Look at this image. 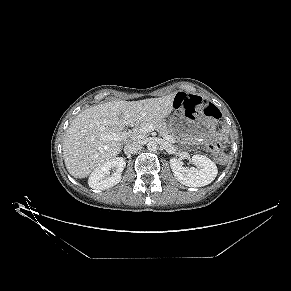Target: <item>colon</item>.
Here are the masks:
<instances>
[{
  "mask_svg": "<svg viewBox=\"0 0 291 291\" xmlns=\"http://www.w3.org/2000/svg\"><path fill=\"white\" fill-rule=\"evenodd\" d=\"M174 106L187 116L204 114L213 118L220 117V110L209 101L199 97L179 93L174 100ZM206 149L216 156L218 164L223 165L227 158L223 153V145L218 139H214L206 145Z\"/></svg>",
  "mask_w": 291,
  "mask_h": 291,
  "instance_id": "5ec220e1",
  "label": "colon"
}]
</instances>
